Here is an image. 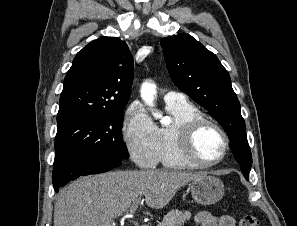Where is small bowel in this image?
<instances>
[{
  "mask_svg": "<svg viewBox=\"0 0 297 226\" xmlns=\"http://www.w3.org/2000/svg\"><path fill=\"white\" fill-rule=\"evenodd\" d=\"M194 226H235V220L229 215L216 216L207 211L198 212L193 219Z\"/></svg>",
  "mask_w": 297,
  "mask_h": 226,
  "instance_id": "small-bowel-1",
  "label": "small bowel"
}]
</instances>
